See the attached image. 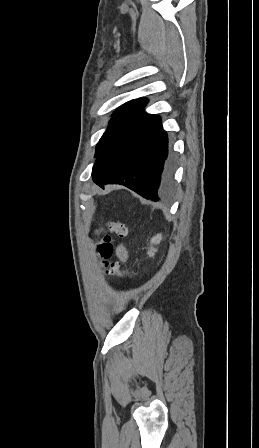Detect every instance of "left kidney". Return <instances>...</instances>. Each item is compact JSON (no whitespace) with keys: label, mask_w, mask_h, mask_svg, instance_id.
I'll return each instance as SVG.
<instances>
[{"label":"left kidney","mask_w":259,"mask_h":448,"mask_svg":"<svg viewBox=\"0 0 259 448\" xmlns=\"http://www.w3.org/2000/svg\"><path fill=\"white\" fill-rule=\"evenodd\" d=\"M161 240H162L161 234H157V236H154V238H151L150 242H151V244H154V246H156V244H160ZM155 252H157L156 248H152V246H151V248H148L147 254H148L149 258H153Z\"/></svg>","instance_id":"1"}]
</instances>
